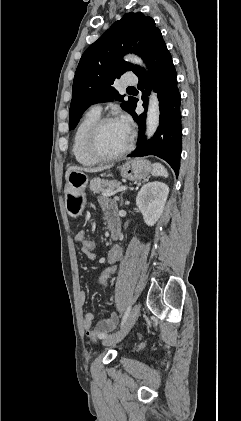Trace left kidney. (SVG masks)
Segmentation results:
<instances>
[{
	"mask_svg": "<svg viewBox=\"0 0 241 421\" xmlns=\"http://www.w3.org/2000/svg\"><path fill=\"white\" fill-rule=\"evenodd\" d=\"M168 194L169 187L159 181L145 184L138 192L136 205L148 226H153L162 215Z\"/></svg>",
	"mask_w": 241,
	"mask_h": 421,
	"instance_id": "left-kidney-1",
	"label": "left kidney"
}]
</instances>
